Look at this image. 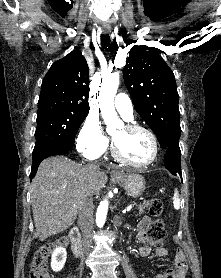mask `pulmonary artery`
<instances>
[{
    "instance_id": "1",
    "label": "pulmonary artery",
    "mask_w": 221,
    "mask_h": 278,
    "mask_svg": "<svg viewBox=\"0 0 221 278\" xmlns=\"http://www.w3.org/2000/svg\"><path fill=\"white\" fill-rule=\"evenodd\" d=\"M114 105L122 117L130 121L133 119V105L130 98L125 94H118L115 97Z\"/></svg>"
}]
</instances>
